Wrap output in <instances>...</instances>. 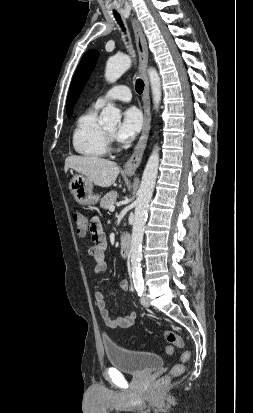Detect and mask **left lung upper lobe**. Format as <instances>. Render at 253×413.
I'll list each match as a JSON object with an SVG mask.
<instances>
[{
  "label": "left lung upper lobe",
  "instance_id": "5c2ea615",
  "mask_svg": "<svg viewBox=\"0 0 253 413\" xmlns=\"http://www.w3.org/2000/svg\"><path fill=\"white\" fill-rule=\"evenodd\" d=\"M99 56L98 51L89 50L82 58L77 71L72 79L66 102L67 116L72 114L73 106L80 96Z\"/></svg>",
  "mask_w": 253,
  "mask_h": 413
}]
</instances>
